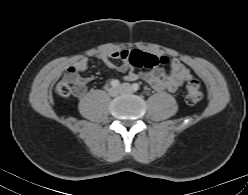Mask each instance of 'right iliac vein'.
Masks as SVG:
<instances>
[{"instance_id": "obj_1", "label": "right iliac vein", "mask_w": 248, "mask_h": 195, "mask_svg": "<svg viewBox=\"0 0 248 195\" xmlns=\"http://www.w3.org/2000/svg\"><path fill=\"white\" fill-rule=\"evenodd\" d=\"M120 89L119 88H117V87H111L110 89H109V94H110V96H112V97H116V96H118L119 94H120Z\"/></svg>"}]
</instances>
